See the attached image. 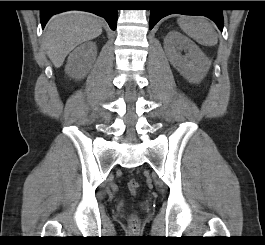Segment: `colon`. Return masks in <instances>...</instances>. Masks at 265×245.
Returning <instances> with one entry per match:
<instances>
[{
    "label": "colon",
    "mask_w": 265,
    "mask_h": 245,
    "mask_svg": "<svg viewBox=\"0 0 265 245\" xmlns=\"http://www.w3.org/2000/svg\"><path fill=\"white\" fill-rule=\"evenodd\" d=\"M139 188V183L137 180L135 179H131L129 182H128V189L132 192V193H135ZM138 224H139V219L137 216L133 215L130 219V225H131V229H132V232L135 233L136 230H137V227H138Z\"/></svg>",
    "instance_id": "colon-1"
}]
</instances>
